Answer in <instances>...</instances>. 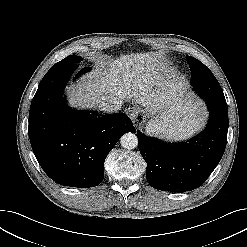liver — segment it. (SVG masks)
Instances as JSON below:
<instances>
[{
  "mask_svg": "<svg viewBox=\"0 0 247 247\" xmlns=\"http://www.w3.org/2000/svg\"><path fill=\"white\" fill-rule=\"evenodd\" d=\"M105 65L71 87V105L97 108L113 97L121 101L133 98L147 112L156 114L180 101L178 96L183 92V84L169 74L158 53L122 55ZM183 110L194 115L198 106L188 103ZM192 124L197 126L199 121L193 120Z\"/></svg>",
  "mask_w": 247,
  "mask_h": 247,
  "instance_id": "6515ba94",
  "label": "liver"
}]
</instances>
